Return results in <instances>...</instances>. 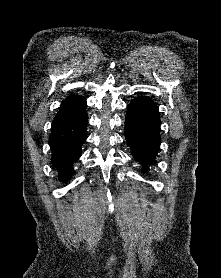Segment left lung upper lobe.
I'll return each instance as SVG.
<instances>
[{"instance_id":"left-lung-upper-lobe-1","label":"left lung upper lobe","mask_w":221,"mask_h":278,"mask_svg":"<svg viewBox=\"0 0 221 278\" xmlns=\"http://www.w3.org/2000/svg\"><path fill=\"white\" fill-rule=\"evenodd\" d=\"M135 99H137V100H148V101L151 100L150 98L145 97V96H143V97H137V98H135Z\"/></svg>"}]
</instances>
